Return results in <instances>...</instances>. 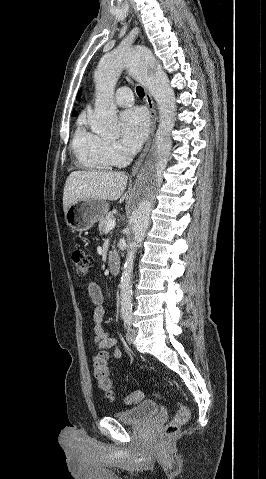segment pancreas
Returning <instances> with one entry per match:
<instances>
[{"mask_svg": "<svg viewBox=\"0 0 266 479\" xmlns=\"http://www.w3.org/2000/svg\"><path fill=\"white\" fill-rule=\"evenodd\" d=\"M114 216L112 213H107L99 222V231L102 232L106 229V225L110 220H113Z\"/></svg>", "mask_w": 266, "mask_h": 479, "instance_id": "cf45deb5", "label": "pancreas"}]
</instances>
